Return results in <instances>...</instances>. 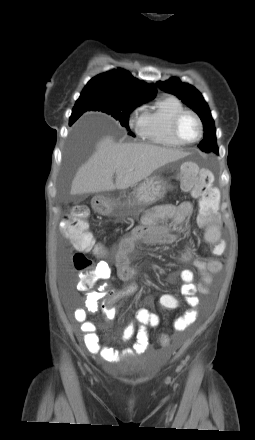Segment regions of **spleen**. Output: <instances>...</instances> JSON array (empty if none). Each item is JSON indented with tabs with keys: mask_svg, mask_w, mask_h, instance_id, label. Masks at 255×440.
Segmentation results:
<instances>
[{
	"mask_svg": "<svg viewBox=\"0 0 255 440\" xmlns=\"http://www.w3.org/2000/svg\"><path fill=\"white\" fill-rule=\"evenodd\" d=\"M204 238L207 242L215 243L220 238V231L217 227H210L206 230Z\"/></svg>",
	"mask_w": 255,
	"mask_h": 440,
	"instance_id": "spleen-1",
	"label": "spleen"
}]
</instances>
